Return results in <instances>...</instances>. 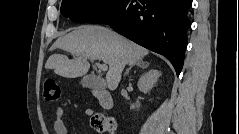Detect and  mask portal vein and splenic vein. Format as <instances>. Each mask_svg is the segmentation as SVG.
<instances>
[{
  "instance_id": "1",
  "label": "portal vein and splenic vein",
  "mask_w": 239,
  "mask_h": 134,
  "mask_svg": "<svg viewBox=\"0 0 239 134\" xmlns=\"http://www.w3.org/2000/svg\"><path fill=\"white\" fill-rule=\"evenodd\" d=\"M96 65L98 66V68L102 71H107L108 70V66L107 64H100L99 62H96Z\"/></svg>"
}]
</instances>
